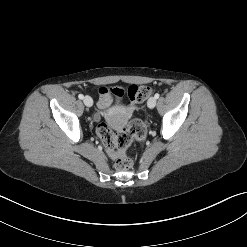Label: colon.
Wrapping results in <instances>:
<instances>
[{
    "label": "colon",
    "instance_id": "1",
    "mask_svg": "<svg viewBox=\"0 0 247 247\" xmlns=\"http://www.w3.org/2000/svg\"><path fill=\"white\" fill-rule=\"evenodd\" d=\"M112 92L122 95L126 93L129 98V106L144 102L152 93V89L146 85H131L126 90L114 88ZM99 136L103 145L115 160L118 170L125 171L132 167L133 160L129 152L133 148L134 142L141 141L146 136V127L138 119L130 121L128 126L119 131H113L107 124L102 123L98 127Z\"/></svg>",
    "mask_w": 247,
    "mask_h": 247
}]
</instances>
